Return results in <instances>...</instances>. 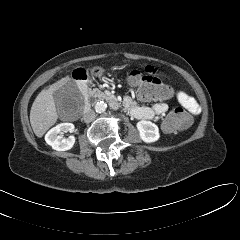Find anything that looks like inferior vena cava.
Instances as JSON below:
<instances>
[{
  "instance_id": "inferior-vena-cava-1",
  "label": "inferior vena cava",
  "mask_w": 240,
  "mask_h": 240,
  "mask_svg": "<svg viewBox=\"0 0 240 240\" xmlns=\"http://www.w3.org/2000/svg\"><path fill=\"white\" fill-rule=\"evenodd\" d=\"M94 118H95V112L93 110H89L83 115L82 119L85 123H89L92 120H94Z\"/></svg>"
}]
</instances>
